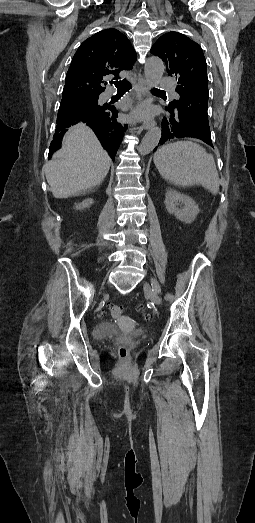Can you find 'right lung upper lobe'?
Segmentation results:
<instances>
[{"mask_svg": "<svg viewBox=\"0 0 255 523\" xmlns=\"http://www.w3.org/2000/svg\"><path fill=\"white\" fill-rule=\"evenodd\" d=\"M136 53L128 38L116 29L102 30L85 40L77 49L66 75L57 126L49 148V158L61 147L65 128L83 121L94 131L114 160L127 125L121 123V110L111 103L98 102L108 79H119V73L130 70ZM112 82V81H109ZM77 98H87L89 105H77ZM87 108L90 116L82 119L79 111ZM98 116L93 118L91 113Z\"/></svg>", "mask_w": 255, "mask_h": 523, "instance_id": "cb5924a9", "label": "right lung upper lobe"}]
</instances>
